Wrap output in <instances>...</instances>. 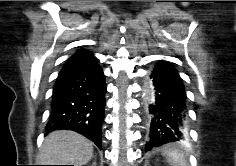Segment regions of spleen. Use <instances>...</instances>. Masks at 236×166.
I'll return each instance as SVG.
<instances>
[{
	"label": "spleen",
	"instance_id": "1",
	"mask_svg": "<svg viewBox=\"0 0 236 166\" xmlns=\"http://www.w3.org/2000/svg\"><path fill=\"white\" fill-rule=\"evenodd\" d=\"M168 156L174 163H178L179 166H187L184 155L178 150H171L168 152Z\"/></svg>",
	"mask_w": 236,
	"mask_h": 166
}]
</instances>
